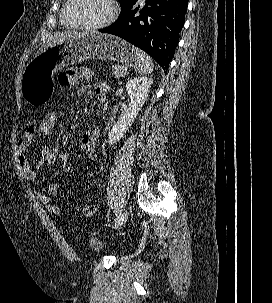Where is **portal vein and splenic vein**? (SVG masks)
<instances>
[{
	"label": "portal vein and splenic vein",
	"mask_w": 272,
	"mask_h": 303,
	"mask_svg": "<svg viewBox=\"0 0 272 303\" xmlns=\"http://www.w3.org/2000/svg\"><path fill=\"white\" fill-rule=\"evenodd\" d=\"M127 69H128V67H124V68H123V70H125V71H126Z\"/></svg>",
	"instance_id": "18ae733b"
}]
</instances>
